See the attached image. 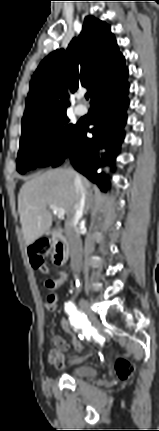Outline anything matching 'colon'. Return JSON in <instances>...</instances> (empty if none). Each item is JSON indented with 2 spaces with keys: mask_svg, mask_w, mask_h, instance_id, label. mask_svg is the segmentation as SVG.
<instances>
[{
  "mask_svg": "<svg viewBox=\"0 0 159 431\" xmlns=\"http://www.w3.org/2000/svg\"><path fill=\"white\" fill-rule=\"evenodd\" d=\"M48 254V249L43 243H37L30 250V260L31 264L35 269L46 271L47 266L45 264L44 257ZM55 297L54 295H50L48 298L47 308L50 314L56 312V307L54 304ZM59 325L61 326V330H63L64 334L70 336L71 345L74 346V349L78 352V354H83L82 344L83 341L79 338L76 333H73V327L71 326L70 320L65 313H62L59 316ZM115 371L120 379H128L132 376L134 367L133 365L124 358H118L115 363Z\"/></svg>",
  "mask_w": 159,
  "mask_h": 431,
  "instance_id": "obj_1",
  "label": "colon"
}]
</instances>
